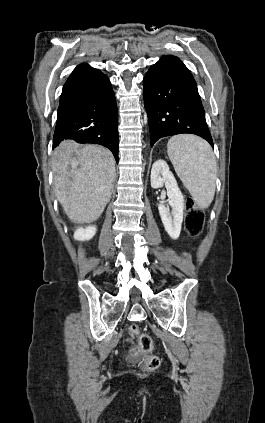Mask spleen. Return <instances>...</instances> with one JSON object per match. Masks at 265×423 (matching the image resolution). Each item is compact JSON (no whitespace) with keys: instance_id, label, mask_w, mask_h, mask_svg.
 Returning a JSON list of instances; mask_svg holds the SVG:
<instances>
[{"instance_id":"3e777b00","label":"spleen","mask_w":265,"mask_h":423,"mask_svg":"<svg viewBox=\"0 0 265 423\" xmlns=\"http://www.w3.org/2000/svg\"><path fill=\"white\" fill-rule=\"evenodd\" d=\"M175 172L202 209L210 206L215 195L217 165L210 145L194 135H177L167 144Z\"/></svg>"}]
</instances>
